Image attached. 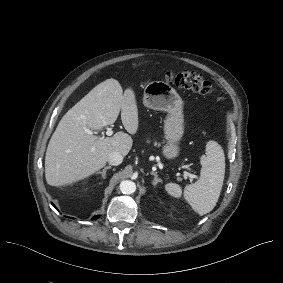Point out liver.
Returning <instances> with one entry per match:
<instances>
[{"instance_id": "obj_1", "label": "liver", "mask_w": 283, "mask_h": 283, "mask_svg": "<svg viewBox=\"0 0 283 283\" xmlns=\"http://www.w3.org/2000/svg\"><path fill=\"white\" fill-rule=\"evenodd\" d=\"M121 111V121L130 134L138 129V109L131 88L124 91L115 79L95 86L60 120L45 156V177L51 186L72 184L103 168L111 152L126 156L131 136L119 131L113 137H97L85 129L112 125Z\"/></svg>"}]
</instances>
